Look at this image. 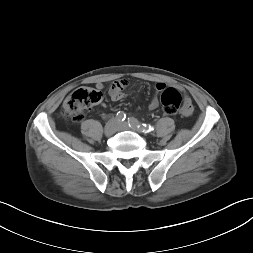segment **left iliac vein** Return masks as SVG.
Masks as SVG:
<instances>
[{"label":"left iliac vein","instance_id":"left-iliac-vein-1","mask_svg":"<svg viewBox=\"0 0 253 253\" xmlns=\"http://www.w3.org/2000/svg\"><path fill=\"white\" fill-rule=\"evenodd\" d=\"M130 129L136 132H141V130L138 128H130V126L126 122L119 124V130H130Z\"/></svg>","mask_w":253,"mask_h":253}]
</instances>
